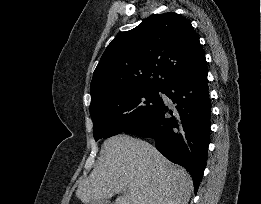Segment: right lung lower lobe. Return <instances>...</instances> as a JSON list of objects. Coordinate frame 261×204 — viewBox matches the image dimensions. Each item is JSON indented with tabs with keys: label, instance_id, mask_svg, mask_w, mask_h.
<instances>
[{
	"label": "right lung lower lobe",
	"instance_id": "1",
	"mask_svg": "<svg viewBox=\"0 0 261 204\" xmlns=\"http://www.w3.org/2000/svg\"><path fill=\"white\" fill-rule=\"evenodd\" d=\"M207 83L204 58L161 91L176 104L173 110L161 98L144 118L124 131L154 139L159 152L189 171L195 194L202 181L209 145L211 103Z\"/></svg>",
	"mask_w": 261,
	"mask_h": 204
}]
</instances>
